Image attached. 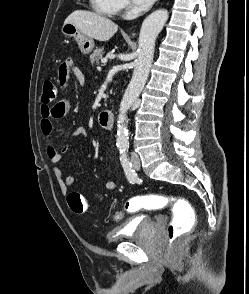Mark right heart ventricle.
I'll use <instances>...</instances> for the list:
<instances>
[{
  "mask_svg": "<svg viewBox=\"0 0 249 294\" xmlns=\"http://www.w3.org/2000/svg\"><path fill=\"white\" fill-rule=\"evenodd\" d=\"M94 10L105 16H114L118 14V1L117 0H90Z\"/></svg>",
  "mask_w": 249,
  "mask_h": 294,
  "instance_id": "right-heart-ventricle-1",
  "label": "right heart ventricle"
}]
</instances>
